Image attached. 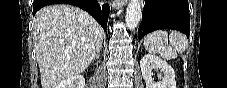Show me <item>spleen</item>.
Masks as SVG:
<instances>
[{
    "label": "spleen",
    "mask_w": 227,
    "mask_h": 88,
    "mask_svg": "<svg viewBox=\"0 0 227 88\" xmlns=\"http://www.w3.org/2000/svg\"><path fill=\"white\" fill-rule=\"evenodd\" d=\"M188 45L186 36L178 31L169 35L166 31L157 30L144 38L145 49L152 54H160L165 60L175 59L177 53L182 52Z\"/></svg>",
    "instance_id": "obj_1"
}]
</instances>
